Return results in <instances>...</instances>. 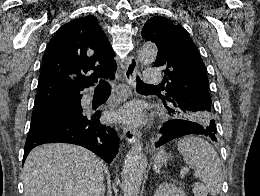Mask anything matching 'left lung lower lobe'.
<instances>
[{
	"mask_svg": "<svg viewBox=\"0 0 260 196\" xmlns=\"http://www.w3.org/2000/svg\"><path fill=\"white\" fill-rule=\"evenodd\" d=\"M162 137L155 144L156 147H159L168 141L189 134H203L210 137L213 141H217L216 134V123L213 122L208 126H203L199 123L174 119L164 123L163 127L160 129Z\"/></svg>",
	"mask_w": 260,
	"mask_h": 196,
	"instance_id": "left-lung-lower-lobe-1",
	"label": "left lung lower lobe"
}]
</instances>
